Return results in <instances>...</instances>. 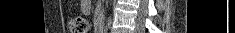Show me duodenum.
<instances>
[{
	"mask_svg": "<svg viewBox=\"0 0 235 33\" xmlns=\"http://www.w3.org/2000/svg\"><path fill=\"white\" fill-rule=\"evenodd\" d=\"M104 27H105V24H104L103 18L101 17V18L98 20L99 33H103Z\"/></svg>",
	"mask_w": 235,
	"mask_h": 33,
	"instance_id": "obj_1",
	"label": "duodenum"
}]
</instances>
